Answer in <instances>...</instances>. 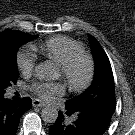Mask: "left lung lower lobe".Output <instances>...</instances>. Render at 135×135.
<instances>
[{
	"label": "left lung lower lobe",
	"mask_w": 135,
	"mask_h": 135,
	"mask_svg": "<svg viewBox=\"0 0 135 135\" xmlns=\"http://www.w3.org/2000/svg\"><path fill=\"white\" fill-rule=\"evenodd\" d=\"M66 114H75L71 123L65 121L64 114L59 112L54 125L50 126V135H102L114 113L113 109L105 106L88 108H70L66 106Z\"/></svg>",
	"instance_id": "0a47b994"
}]
</instances>
